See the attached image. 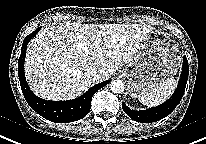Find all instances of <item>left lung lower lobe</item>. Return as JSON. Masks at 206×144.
<instances>
[{
	"label": "left lung lower lobe",
	"mask_w": 206,
	"mask_h": 144,
	"mask_svg": "<svg viewBox=\"0 0 206 144\" xmlns=\"http://www.w3.org/2000/svg\"><path fill=\"white\" fill-rule=\"evenodd\" d=\"M183 62L184 63L182 66V72H181V78L179 80V84L174 94L171 96L169 100H167L166 102H164L163 104L157 107L150 108L147 110H142V111L131 110L123 103L122 108L124 112L131 119L137 122H144V123L156 122L168 116L176 108L178 103L181 101L185 91L186 83L188 80V73H189L188 61L186 56H184Z\"/></svg>",
	"instance_id": "0a47b994"
}]
</instances>
